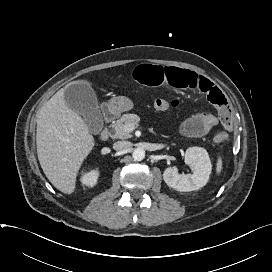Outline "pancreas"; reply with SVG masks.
Masks as SVG:
<instances>
[{
	"label": "pancreas",
	"mask_w": 272,
	"mask_h": 272,
	"mask_svg": "<svg viewBox=\"0 0 272 272\" xmlns=\"http://www.w3.org/2000/svg\"><path fill=\"white\" fill-rule=\"evenodd\" d=\"M140 121V117L136 114H124L120 119L111 125L112 134L114 138L117 139H128L132 135L130 131L126 130L127 125L137 126Z\"/></svg>",
	"instance_id": "1"
}]
</instances>
